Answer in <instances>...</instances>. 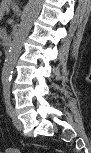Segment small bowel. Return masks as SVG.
I'll list each match as a JSON object with an SVG mask.
<instances>
[{"instance_id": "obj_1", "label": "small bowel", "mask_w": 91, "mask_h": 153, "mask_svg": "<svg viewBox=\"0 0 91 153\" xmlns=\"http://www.w3.org/2000/svg\"><path fill=\"white\" fill-rule=\"evenodd\" d=\"M7 153H17L18 149H8L6 150Z\"/></svg>"}]
</instances>
